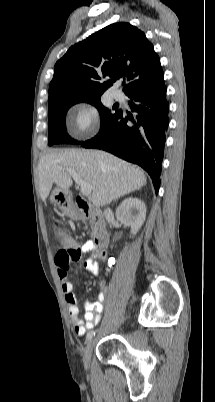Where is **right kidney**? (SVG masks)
Wrapping results in <instances>:
<instances>
[{"label": "right kidney", "instance_id": "1", "mask_svg": "<svg viewBox=\"0 0 215 402\" xmlns=\"http://www.w3.org/2000/svg\"><path fill=\"white\" fill-rule=\"evenodd\" d=\"M116 218L125 226H130L131 234L136 235L145 221L146 206L137 198H127L117 208Z\"/></svg>", "mask_w": 215, "mask_h": 402}]
</instances>
